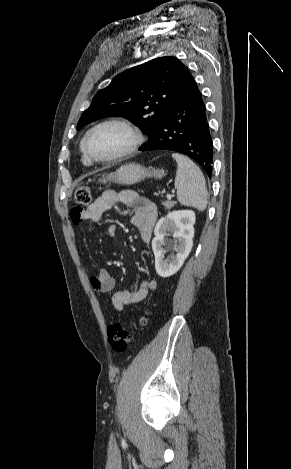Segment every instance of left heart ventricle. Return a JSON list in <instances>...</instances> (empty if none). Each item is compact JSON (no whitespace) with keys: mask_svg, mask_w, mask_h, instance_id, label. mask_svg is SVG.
Masks as SVG:
<instances>
[{"mask_svg":"<svg viewBox=\"0 0 291 469\" xmlns=\"http://www.w3.org/2000/svg\"><path fill=\"white\" fill-rule=\"evenodd\" d=\"M131 134L119 125H106L95 130L89 139V152L96 158H108L125 150Z\"/></svg>","mask_w":291,"mask_h":469,"instance_id":"obj_1","label":"left heart ventricle"}]
</instances>
